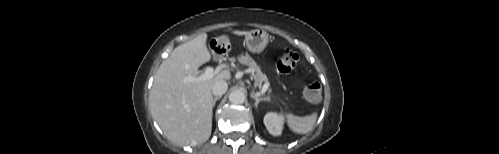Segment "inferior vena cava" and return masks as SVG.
<instances>
[{
	"label": "inferior vena cava",
	"instance_id": "inferior-vena-cava-1",
	"mask_svg": "<svg viewBox=\"0 0 499 154\" xmlns=\"http://www.w3.org/2000/svg\"><path fill=\"white\" fill-rule=\"evenodd\" d=\"M228 89V84L225 80H219L212 86V93L215 96H222L226 93Z\"/></svg>",
	"mask_w": 499,
	"mask_h": 154
}]
</instances>
